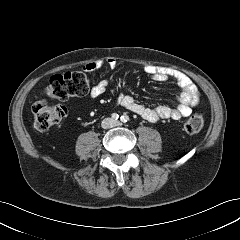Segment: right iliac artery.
Returning a JSON list of instances; mask_svg holds the SVG:
<instances>
[{
	"label": "right iliac artery",
	"mask_w": 240,
	"mask_h": 240,
	"mask_svg": "<svg viewBox=\"0 0 240 240\" xmlns=\"http://www.w3.org/2000/svg\"><path fill=\"white\" fill-rule=\"evenodd\" d=\"M112 118H113L114 120H118V119H119V115H118L117 113H113V114H112Z\"/></svg>",
	"instance_id": "right-iliac-artery-1"
}]
</instances>
